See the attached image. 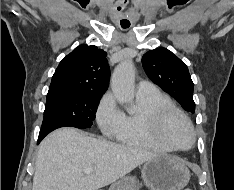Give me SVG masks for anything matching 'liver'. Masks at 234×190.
I'll list each match as a JSON object with an SVG mask.
<instances>
[{
    "instance_id": "6515ba94",
    "label": "liver",
    "mask_w": 234,
    "mask_h": 190,
    "mask_svg": "<svg viewBox=\"0 0 234 190\" xmlns=\"http://www.w3.org/2000/svg\"><path fill=\"white\" fill-rule=\"evenodd\" d=\"M157 154L60 128L40 144L32 190H99ZM93 167L90 174L85 169Z\"/></svg>"
}]
</instances>
